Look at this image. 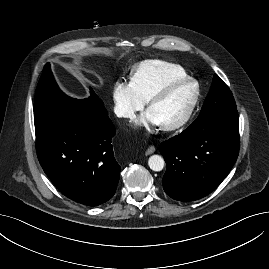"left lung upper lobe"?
<instances>
[{"mask_svg":"<svg viewBox=\"0 0 269 269\" xmlns=\"http://www.w3.org/2000/svg\"><path fill=\"white\" fill-rule=\"evenodd\" d=\"M231 110H236L234 97L228 86L217 74H215L211 89L206 97L199 116L215 115Z\"/></svg>","mask_w":269,"mask_h":269,"instance_id":"obj_1","label":"left lung upper lobe"}]
</instances>
